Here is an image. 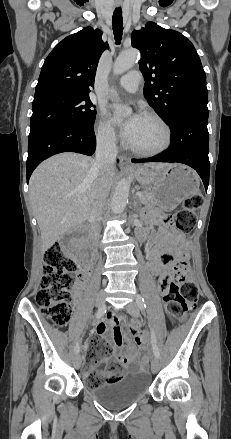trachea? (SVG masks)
<instances>
[{
  "label": "trachea",
  "instance_id": "1",
  "mask_svg": "<svg viewBox=\"0 0 231 439\" xmlns=\"http://www.w3.org/2000/svg\"><path fill=\"white\" fill-rule=\"evenodd\" d=\"M112 25H113V33L115 36L116 44L119 45L121 43V39L123 35V18H122L121 7H118L114 10L112 17Z\"/></svg>",
  "mask_w": 231,
  "mask_h": 439
}]
</instances>
